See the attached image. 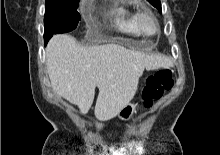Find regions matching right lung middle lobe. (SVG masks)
Listing matches in <instances>:
<instances>
[{
    "label": "right lung middle lobe",
    "instance_id": "dd1d6c3e",
    "mask_svg": "<svg viewBox=\"0 0 220 155\" xmlns=\"http://www.w3.org/2000/svg\"><path fill=\"white\" fill-rule=\"evenodd\" d=\"M79 0H46L44 41L53 34L74 30L81 17L77 11Z\"/></svg>",
    "mask_w": 220,
    "mask_h": 155
}]
</instances>
